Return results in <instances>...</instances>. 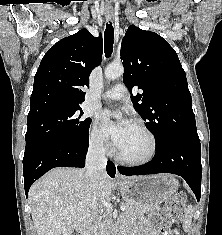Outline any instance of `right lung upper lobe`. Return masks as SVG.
Instances as JSON below:
<instances>
[{
	"instance_id": "1",
	"label": "right lung upper lobe",
	"mask_w": 222,
	"mask_h": 235,
	"mask_svg": "<svg viewBox=\"0 0 222 235\" xmlns=\"http://www.w3.org/2000/svg\"><path fill=\"white\" fill-rule=\"evenodd\" d=\"M101 34L82 29L52 46L35 74L28 116L55 106L81 105L91 71L101 63Z\"/></svg>"
}]
</instances>
